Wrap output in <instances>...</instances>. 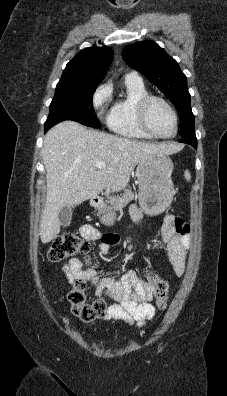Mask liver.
<instances>
[{
    "label": "liver",
    "instance_id": "6515ba94",
    "mask_svg": "<svg viewBox=\"0 0 227 396\" xmlns=\"http://www.w3.org/2000/svg\"><path fill=\"white\" fill-rule=\"evenodd\" d=\"M181 148L87 129L74 121L55 125L47 132L42 148L47 197L40 221L41 242L48 243L59 234L62 206L79 205L105 188L119 191L140 161L154 154H174ZM98 161L106 166L97 168Z\"/></svg>",
    "mask_w": 227,
    "mask_h": 396
}]
</instances>
